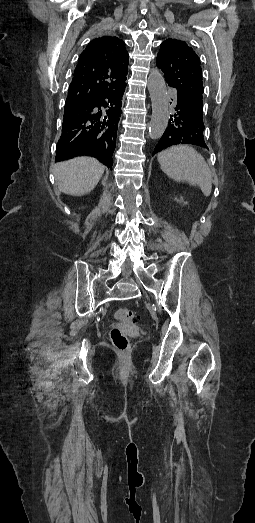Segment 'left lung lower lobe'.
I'll use <instances>...</instances> for the list:
<instances>
[{
  "label": "left lung lower lobe",
  "instance_id": "left-lung-lower-lobe-1",
  "mask_svg": "<svg viewBox=\"0 0 255 523\" xmlns=\"http://www.w3.org/2000/svg\"><path fill=\"white\" fill-rule=\"evenodd\" d=\"M176 102L173 104L174 114H168V128L163 130L162 137L158 141V147L152 148V153L159 154L164 148L170 146L190 147L200 145V149L206 150L209 145L205 140V125L200 118L193 115L191 106H186L175 94ZM184 127V128H183Z\"/></svg>",
  "mask_w": 255,
  "mask_h": 523
}]
</instances>
